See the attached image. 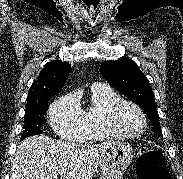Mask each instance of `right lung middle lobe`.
I'll return each mask as SVG.
<instances>
[{"label":"right lung middle lobe","instance_id":"dd1d6c3e","mask_svg":"<svg viewBox=\"0 0 183 179\" xmlns=\"http://www.w3.org/2000/svg\"><path fill=\"white\" fill-rule=\"evenodd\" d=\"M47 105L48 99H45L40 103H33L26 106L21 140L28 136L38 135L42 132L40 128L45 122L44 115L46 114Z\"/></svg>","mask_w":183,"mask_h":179}]
</instances>
